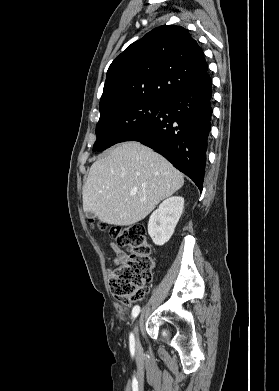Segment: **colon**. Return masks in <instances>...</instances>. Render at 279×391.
Listing matches in <instances>:
<instances>
[{"mask_svg":"<svg viewBox=\"0 0 279 391\" xmlns=\"http://www.w3.org/2000/svg\"><path fill=\"white\" fill-rule=\"evenodd\" d=\"M110 234L127 252L111 271L109 287L117 301L129 306L144 297L153 279L154 250L141 224L112 227Z\"/></svg>","mask_w":279,"mask_h":391,"instance_id":"obj_1","label":"colon"}]
</instances>
